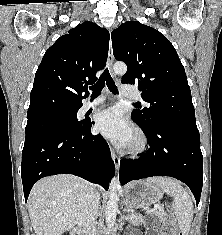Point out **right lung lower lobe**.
Returning <instances> with one entry per match:
<instances>
[{"instance_id":"right-lung-lower-lobe-1","label":"right lung lower lobe","mask_w":222,"mask_h":235,"mask_svg":"<svg viewBox=\"0 0 222 235\" xmlns=\"http://www.w3.org/2000/svg\"><path fill=\"white\" fill-rule=\"evenodd\" d=\"M77 106L79 110L82 102ZM93 124L83 120L70 130H52L25 140L21 177L26 201L36 181L60 173L82 177L108 190L115 166L104 138L91 134Z\"/></svg>"}]
</instances>
